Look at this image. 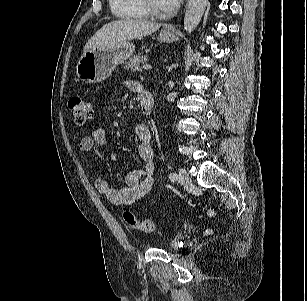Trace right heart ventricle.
I'll use <instances>...</instances> for the list:
<instances>
[{"mask_svg":"<svg viewBox=\"0 0 307 301\" xmlns=\"http://www.w3.org/2000/svg\"><path fill=\"white\" fill-rule=\"evenodd\" d=\"M112 13L121 19H144L147 13L140 0H109Z\"/></svg>","mask_w":307,"mask_h":301,"instance_id":"1","label":"right heart ventricle"}]
</instances>
